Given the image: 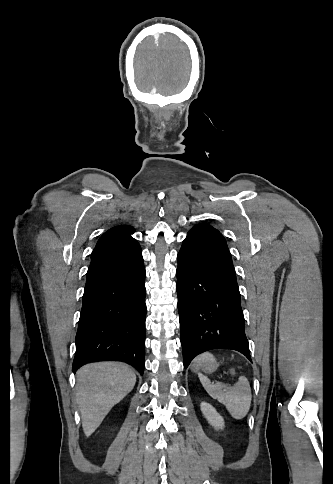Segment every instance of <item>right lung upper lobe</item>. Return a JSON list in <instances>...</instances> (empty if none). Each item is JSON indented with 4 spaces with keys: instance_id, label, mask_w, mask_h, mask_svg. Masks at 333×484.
I'll list each match as a JSON object with an SVG mask.
<instances>
[{
    "instance_id": "obj_1",
    "label": "right lung upper lobe",
    "mask_w": 333,
    "mask_h": 484,
    "mask_svg": "<svg viewBox=\"0 0 333 484\" xmlns=\"http://www.w3.org/2000/svg\"><path fill=\"white\" fill-rule=\"evenodd\" d=\"M135 229L128 225L115 226L105 232L98 240L92 257L126 251L139 245L131 236Z\"/></svg>"
}]
</instances>
